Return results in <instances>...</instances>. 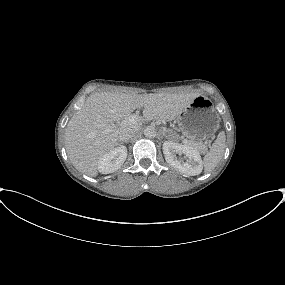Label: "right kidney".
I'll use <instances>...</instances> for the list:
<instances>
[{
    "instance_id": "obj_1",
    "label": "right kidney",
    "mask_w": 285,
    "mask_h": 285,
    "mask_svg": "<svg viewBox=\"0 0 285 285\" xmlns=\"http://www.w3.org/2000/svg\"><path fill=\"white\" fill-rule=\"evenodd\" d=\"M126 157L127 148L125 146L114 148L98 161V171L102 174L113 173L123 165Z\"/></svg>"
}]
</instances>
